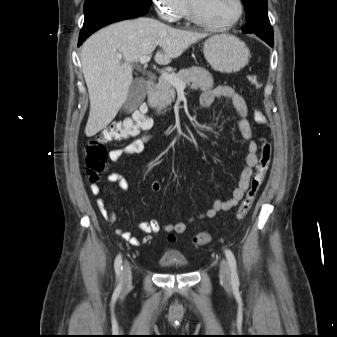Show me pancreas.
I'll return each mask as SVG.
<instances>
[{
  "mask_svg": "<svg viewBox=\"0 0 337 337\" xmlns=\"http://www.w3.org/2000/svg\"><path fill=\"white\" fill-rule=\"evenodd\" d=\"M172 75L194 90H207L214 86L212 75L201 67L182 69ZM175 94V87L161 76L150 94L149 104L160 113L174 101Z\"/></svg>",
  "mask_w": 337,
  "mask_h": 337,
  "instance_id": "cf45deb5",
  "label": "pancreas"
}]
</instances>
